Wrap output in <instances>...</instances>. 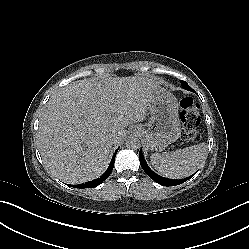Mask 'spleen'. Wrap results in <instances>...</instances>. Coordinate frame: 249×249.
I'll return each instance as SVG.
<instances>
[{"label":"spleen","mask_w":249,"mask_h":249,"mask_svg":"<svg viewBox=\"0 0 249 249\" xmlns=\"http://www.w3.org/2000/svg\"><path fill=\"white\" fill-rule=\"evenodd\" d=\"M207 145L200 143L178 151L150 156L154 169L162 176L178 179L195 171L206 159Z\"/></svg>","instance_id":"3e777b00"}]
</instances>
